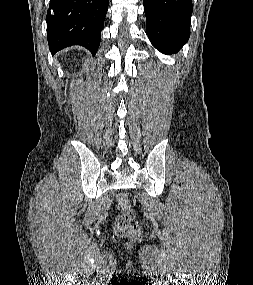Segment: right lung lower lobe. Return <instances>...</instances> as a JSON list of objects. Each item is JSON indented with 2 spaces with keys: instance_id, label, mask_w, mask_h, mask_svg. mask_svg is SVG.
<instances>
[{
  "instance_id": "obj_1",
  "label": "right lung lower lobe",
  "mask_w": 253,
  "mask_h": 285,
  "mask_svg": "<svg viewBox=\"0 0 253 285\" xmlns=\"http://www.w3.org/2000/svg\"><path fill=\"white\" fill-rule=\"evenodd\" d=\"M109 0H50L47 11V40L52 54L81 45L95 55Z\"/></svg>"
}]
</instances>
